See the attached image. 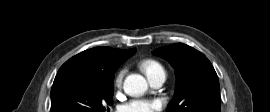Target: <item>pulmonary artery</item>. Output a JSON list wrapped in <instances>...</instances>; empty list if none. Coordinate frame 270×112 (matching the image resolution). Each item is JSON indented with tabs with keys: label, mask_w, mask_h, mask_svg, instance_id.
<instances>
[{
	"label": "pulmonary artery",
	"mask_w": 270,
	"mask_h": 112,
	"mask_svg": "<svg viewBox=\"0 0 270 112\" xmlns=\"http://www.w3.org/2000/svg\"><path fill=\"white\" fill-rule=\"evenodd\" d=\"M149 79V82L150 84L153 86V87H160L163 85V83L165 82L166 80V74L165 73H158L150 78Z\"/></svg>",
	"instance_id": "e3ab8cb5"
}]
</instances>
